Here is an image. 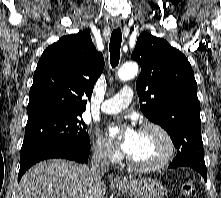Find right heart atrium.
<instances>
[{"instance_id": "1", "label": "right heart atrium", "mask_w": 221, "mask_h": 198, "mask_svg": "<svg viewBox=\"0 0 221 198\" xmlns=\"http://www.w3.org/2000/svg\"><path fill=\"white\" fill-rule=\"evenodd\" d=\"M93 151L96 158L105 162H115L119 158L118 152L102 137L94 140Z\"/></svg>"}]
</instances>
